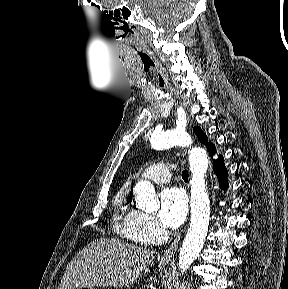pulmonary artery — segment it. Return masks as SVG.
<instances>
[{
  "instance_id": "obj_1",
  "label": "pulmonary artery",
  "mask_w": 288,
  "mask_h": 289,
  "mask_svg": "<svg viewBox=\"0 0 288 289\" xmlns=\"http://www.w3.org/2000/svg\"><path fill=\"white\" fill-rule=\"evenodd\" d=\"M172 175V166L167 163H156L148 166L141 174L142 178L152 180L156 183H167Z\"/></svg>"
}]
</instances>
